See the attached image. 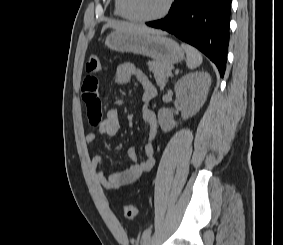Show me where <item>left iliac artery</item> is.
Masks as SVG:
<instances>
[{
	"mask_svg": "<svg viewBox=\"0 0 283 245\" xmlns=\"http://www.w3.org/2000/svg\"><path fill=\"white\" fill-rule=\"evenodd\" d=\"M151 232H152V231H151L150 228L146 229V230L143 232L142 239L148 238V237L151 235Z\"/></svg>",
	"mask_w": 283,
	"mask_h": 245,
	"instance_id": "1",
	"label": "left iliac artery"
}]
</instances>
